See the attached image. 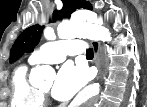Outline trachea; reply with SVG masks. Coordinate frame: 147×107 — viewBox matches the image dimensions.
Masks as SVG:
<instances>
[{
	"mask_svg": "<svg viewBox=\"0 0 147 107\" xmlns=\"http://www.w3.org/2000/svg\"><path fill=\"white\" fill-rule=\"evenodd\" d=\"M94 56L93 50H88L86 52V57L92 59Z\"/></svg>",
	"mask_w": 147,
	"mask_h": 107,
	"instance_id": "1",
	"label": "trachea"
}]
</instances>
